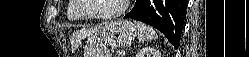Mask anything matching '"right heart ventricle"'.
Returning a JSON list of instances; mask_svg holds the SVG:
<instances>
[{"instance_id":"1","label":"right heart ventricle","mask_w":249,"mask_h":57,"mask_svg":"<svg viewBox=\"0 0 249 57\" xmlns=\"http://www.w3.org/2000/svg\"><path fill=\"white\" fill-rule=\"evenodd\" d=\"M77 2L76 0H71L70 1V4L67 8V18L69 20H72V21H78V20H82L84 17L81 16L78 11H77Z\"/></svg>"}]
</instances>
